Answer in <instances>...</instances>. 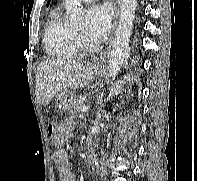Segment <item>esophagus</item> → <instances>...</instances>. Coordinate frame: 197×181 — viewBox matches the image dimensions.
<instances>
[{
  "label": "esophagus",
  "mask_w": 197,
  "mask_h": 181,
  "mask_svg": "<svg viewBox=\"0 0 197 181\" xmlns=\"http://www.w3.org/2000/svg\"><path fill=\"white\" fill-rule=\"evenodd\" d=\"M120 4H121V0H117V6H116V9H115V16H114V24L117 23V20H118V17H119V12H120ZM109 55V48L107 50H105L101 56H100V60L99 62L97 63V68H102L104 67V62L105 60L107 59Z\"/></svg>",
  "instance_id": "34e87169"
}]
</instances>
